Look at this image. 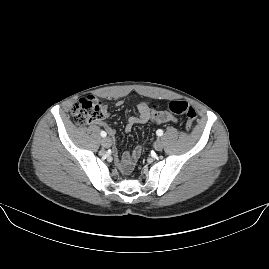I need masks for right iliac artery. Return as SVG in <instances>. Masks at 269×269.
I'll return each instance as SVG.
<instances>
[{
  "label": "right iliac artery",
  "instance_id": "1",
  "mask_svg": "<svg viewBox=\"0 0 269 269\" xmlns=\"http://www.w3.org/2000/svg\"><path fill=\"white\" fill-rule=\"evenodd\" d=\"M101 136H102V137H106V136H107L106 132H105V131H102V132H101Z\"/></svg>",
  "mask_w": 269,
  "mask_h": 269
}]
</instances>
